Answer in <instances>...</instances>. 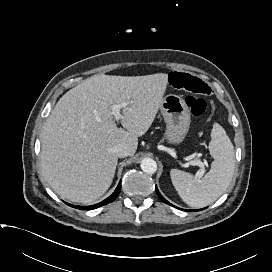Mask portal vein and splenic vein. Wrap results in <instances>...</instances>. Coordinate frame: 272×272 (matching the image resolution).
<instances>
[{
  "label": "portal vein and splenic vein",
  "mask_w": 272,
  "mask_h": 272,
  "mask_svg": "<svg viewBox=\"0 0 272 272\" xmlns=\"http://www.w3.org/2000/svg\"><path fill=\"white\" fill-rule=\"evenodd\" d=\"M129 105V102H123L121 104H116V105H111V110H112V114L114 115V119L115 120H119L122 115L120 114V109L122 108H126ZM187 160H189L187 158ZM190 165L193 166H199L201 168L200 172L198 173L199 177H202L204 175V163L201 162L200 160H191L189 161Z\"/></svg>",
  "instance_id": "18ae733b"
}]
</instances>
